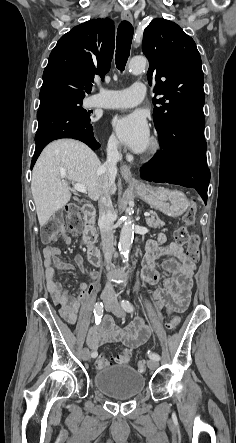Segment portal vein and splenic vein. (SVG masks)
<instances>
[{
    "instance_id": "obj_1",
    "label": "portal vein and splenic vein",
    "mask_w": 236,
    "mask_h": 443,
    "mask_svg": "<svg viewBox=\"0 0 236 443\" xmlns=\"http://www.w3.org/2000/svg\"><path fill=\"white\" fill-rule=\"evenodd\" d=\"M74 188H75V190H77V191H79V192H82V193H86V192H87L86 187H85L84 185H81V184H74ZM144 216H145V217H149V216H150V213L145 212V213H144Z\"/></svg>"
}]
</instances>
